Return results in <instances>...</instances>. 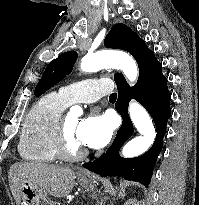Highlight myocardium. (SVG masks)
I'll return each mask as SVG.
<instances>
[{
    "instance_id": "f54148a6",
    "label": "myocardium",
    "mask_w": 199,
    "mask_h": 205,
    "mask_svg": "<svg viewBox=\"0 0 199 205\" xmlns=\"http://www.w3.org/2000/svg\"><path fill=\"white\" fill-rule=\"evenodd\" d=\"M52 147L58 159L65 161H76L83 158L87 151L84 148H71L67 142L66 116H61L52 140Z\"/></svg>"
}]
</instances>
